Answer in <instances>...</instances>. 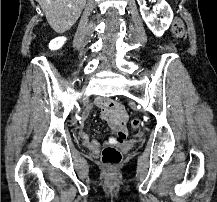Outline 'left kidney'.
I'll list each match as a JSON object with an SVG mask.
<instances>
[{
	"instance_id": "5707ae66",
	"label": "left kidney",
	"mask_w": 217,
	"mask_h": 202,
	"mask_svg": "<svg viewBox=\"0 0 217 202\" xmlns=\"http://www.w3.org/2000/svg\"><path fill=\"white\" fill-rule=\"evenodd\" d=\"M137 2L140 6L141 16L145 24H147L149 30L153 32L154 36L161 38L164 32L168 30L173 20V12L169 4H167L165 0H160L159 4H156L155 6L157 12L152 14V12H150V8H147L145 0H137ZM157 14H160L162 18H158Z\"/></svg>"
}]
</instances>
